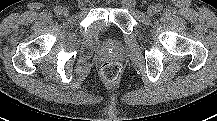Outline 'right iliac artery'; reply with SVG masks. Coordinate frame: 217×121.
Returning a JSON list of instances; mask_svg holds the SVG:
<instances>
[{
	"instance_id": "1",
	"label": "right iliac artery",
	"mask_w": 217,
	"mask_h": 121,
	"mask_svg": "<svg viewBox=\"0 0 217 121\" xmlns=\"http://www.w3.org/2000/svg\"><path fill=\"white\" fill-rule=\"evenodd\" d=\"M54 12H55L56 14H61V6H56V7L54 8Z\"/></svg>"
}]
</instances>
